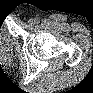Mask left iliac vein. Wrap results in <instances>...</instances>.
Listing matches in <instances>:
<instances>
[{"label": "left iliac vein", "mask_w": 93, "mask_h": 93, "mask_svg": "<svg viewBox=\"0 0 93 93\" xmlns=\"http://www.w3.org/2000/svg\"><path fill=\"white\" fill-rule=\"evenodd\" d=\"M34 23H35V22H34L33 19H30V20H29V24H30V25H32V24H34Z\"/></svg>", "instance_id": "4c4485c4"}]
</instances>
